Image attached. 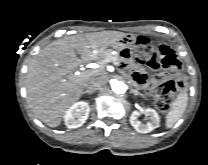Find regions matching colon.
Listing matches in <instances>:
<instances>
[{
    "mask_svg": "<svg viewBox=\"0 0 208 165\" xmlns=\"http://www.w3.org/2000/svg\"><path fill=\"white\" fill-rule=\"evenodd\" d=\"M133 55L138 62L153 68L163 67L172 74L178 73L181 69V63L170 47L166 45L154 47L150 40L144 36L137 38ZM183 87L184 82L182 80L168 79L157 82L156 108L161 112L169 110L174 102L175 93Z\"/></svg>",
    "mask_w": 208,
    "mask_h": 165,
    "instance_id": "colon-1",
    "label": "colon"
}]
</instances>
